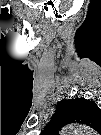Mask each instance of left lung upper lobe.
I'll list each match as a JSON object with an SVG mask.
<instances>
[{
    "label": "left lung upper lobe",
    "mask_w": 101,
    "mask_h": 135,
    "mask_svg": "<svg viewBox=\"0 0 101 135\" xmlns=\"http://www.w3.org/2000/svg\"><path fill=\"white\" fill-rule=\"evenodd\" d=\"M95 107V103L86 100L84 98L80 99H69L63 100L57 105L54 116L61 119L63 124L70 122H85L91 113V109Z\"/></svg>",
    "instance_id": "left-lung-upper-lobe-1"
}]
</instances>
